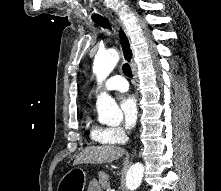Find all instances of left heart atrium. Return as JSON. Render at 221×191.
Returning a JSON list of instances; mask_svg holds the SVG:
<instances>
[{"label": "left heart atrium", "mask_w": 221, "mask_h": 191, "mask_svg": "<svg viewBox=\"0 0 221 191\" xmlns=\"http://www.w3.org/2000/svg\"><path fill=\"white\" fill-rule=\"evenodd\" d=\"M120 106L125 127L127 129L134 128L138 119V103L136 97L133 95H126L122 98Z\"/></svg>", "instance_id": "left-heart-atrium-1"}]
</instances>
